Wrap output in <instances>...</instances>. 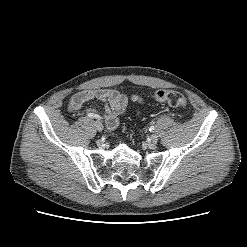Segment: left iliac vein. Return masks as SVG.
Instances as JSON below:
<instances>
[{"label":"left iliac vein","mask_w":247,"mask_h":247,"mask_svg":"<svg viewBox=\"0 0 247 247\" xmlns=\"http://www.w3.org/2000/svg\"><path fill=\"white\" fill-rule=\"evenodd\" d=\"M150 140H151L152 143H157V141H158V136H157L156 134H152V135L150 136Z\"/></svg>","instance_id":"left-iliac-vein-1"}]
</instances>
